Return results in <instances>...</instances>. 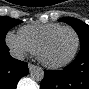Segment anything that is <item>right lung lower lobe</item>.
<instances>
[{"instance_id": "obj_1", "label": "right lung lower lobe", "mask_w": 89, "mask_h": 89, "mask_svg": "<svg viewBox=\"0 0 89 89\" xmlns=\"http://www.w3.org/2000/svg\"><path fill=\"white\" fill-rule=\"evenodd\" d=\"M6 44L0 45V89H15L18 81L29 73L27 63L12 58Z\"/></svg>"}]
</instances>
